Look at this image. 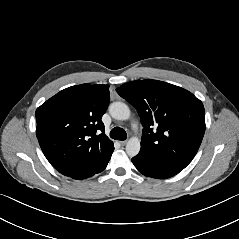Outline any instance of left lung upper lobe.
Masks as SVG:
<instances>
[{
  "label": "left lung upper lobe",
  "mask_w": 239,
  "mask_h": 239,
  "mask_svg": "<svg viewBox=\"0 0 239 239\" xmlns=\"http://www.w3.org/2000/svg\"><path fill=\"white\" fill-rule=\"evenodd\" d=\"M116 91L141 118L144 129L139 154L184 169L204 136L202 102L181 87L151 79L125 83Z\"/></svg>",
  "instance_id": "obj_1"
}]
</instances>
